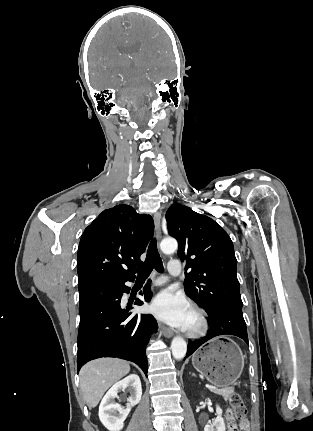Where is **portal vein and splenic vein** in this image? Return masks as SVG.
Instances as JSON below:
<instances>
[{
	"label": "portal vein and splenic vein",
	"mask_w": 313,
	"mask_h": 431,
	"mask_svg": "<svg viewBox=\"0 0 313 431\" xmlns=\"http://www.w3.org/2000/svg\"><path fill=\"white\" fill-rule=\"evenodd\" d=\"M206 388H208V389H213L214 387H213V386H211V385H209V384H206Z\"/></svg>",
	"instance_id": "1"
}]
</instances>
